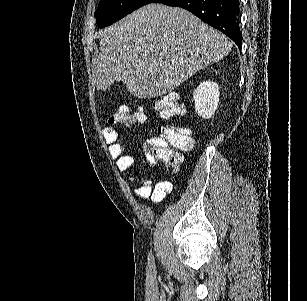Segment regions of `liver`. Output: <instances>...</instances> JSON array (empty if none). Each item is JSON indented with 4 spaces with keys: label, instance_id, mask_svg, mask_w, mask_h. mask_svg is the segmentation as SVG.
Masks as SVG:
<instances>
[{
    "label": "liver",
    "instance_id": "1",
    "mask_svg": "<svg viewBox=\"0 0 307 301\" xmlns=\"http://www.w3.org/2000/svg\"><path fill=\"white\" fill-rule=\"evenodd\" d=\"M98 34L94 84L108 90L122 80L138 98L171 92L197 70L222 60L234 44L189 10L159 2L141 6Z\"/></svg>",
    "mask_w": 307,
    "mask_h": 301
}]
</instances>
